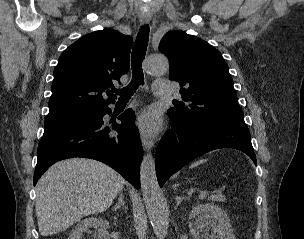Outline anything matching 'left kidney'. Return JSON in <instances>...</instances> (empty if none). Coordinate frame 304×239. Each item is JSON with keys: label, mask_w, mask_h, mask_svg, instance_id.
I'll return each mask as SVG.
<instances>
[{"label": "left kidney", "mask_w": 304, "mask_h": 239, "mask_svg": "<svg viewBox=\"0 0 304 239\" xmlns=\"http://www.w3.org/2000/svg\"><path fill=\"white\" fill-rule=\"evenodd\" d=\"M196 217L193 231L203 233L201 238L208 239L211 228L216 229L219 239H236L226 212L214 204H203L194 207L189 218Z\"/></svg>", "instance_id": "1"}]
</instances>
